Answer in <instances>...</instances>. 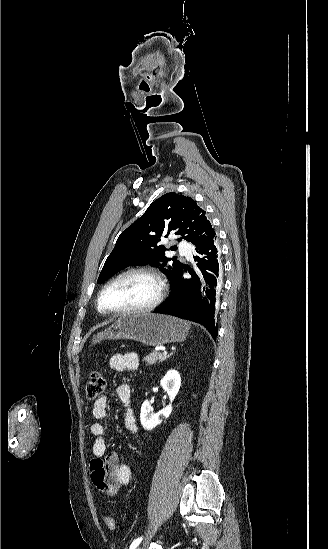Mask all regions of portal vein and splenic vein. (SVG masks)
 <instances>
[{"instance_id": "obj_1", "label": "portal vein and splenic vein", "mask_w": 328, "mask_h": 549, "mask_svg": "<svg viewBox=\"0 0 328 549\" xmlns=\"http://www.w3.org/2000/svg\"><path fill=\"white\" fill-rule=\"evenodd\" d=\"M163 355H167V350H163Z\"/></svg>"}]
</instances>
